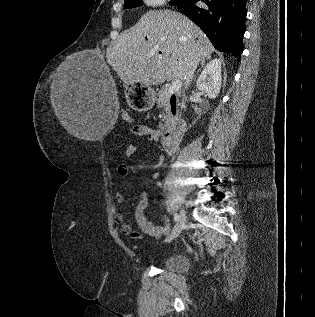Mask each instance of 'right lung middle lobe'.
<instances>
[{
    "mask_svg": "<svg viewBox=\"0 0 315 317\" xmlns=\"http://www.w3.org/2000/svg\"><path fill=\"white\" fill-rule=\"evenodd\" d=\"M179 1L180 0H172V3L175 5ZM140 5H141V0H125L124 1L125 8H134V7H138Z\"/></svg>",
    "mask_w": 315,
    "mask_h": 317,
    "instance_id": "right-lung-middle-lobe-1",
    "label": "right lung middle lobe"
}]
</instances>
